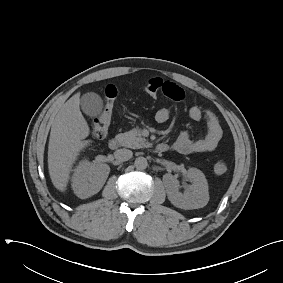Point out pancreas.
<instances>
[{
    "label": "pancreas",
    "instance_id": "1",
    "mask_svg": "<svg viewBox=\"0 0 283 283\" xmlns=\"http://www.w3.org/2000/svg\"><path fill=\"white\" fill-rule=\"evenodd\" d=\"M120 143L124 147L139 149L148 147L150 144L146 142V139L141 136L139 129H132L128 132L117 135Z\"/></svg>",
    "mask_w": 283,
    "mask_h": 283
}]
</instances>
